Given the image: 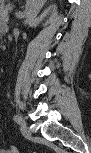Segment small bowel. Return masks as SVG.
<instances>
[{
    "mask_svg": "<svg viewBox=\"0 0 91 153\" xmlns=\"http://www.w3.org/2000/svg\"><path fill=\"white\" fill-rule=\"evenodd\" d=\"M2 152L3 153H17L18 150H17V148L15 146H9L7 148H3Z\"/></svg>",
    "mask_w": 91,
    "mask_h": 153,
    "instance_id": "1",
    "label": "small bowel"
}]
</instances>
